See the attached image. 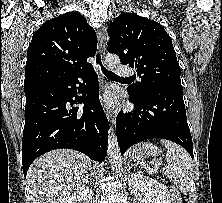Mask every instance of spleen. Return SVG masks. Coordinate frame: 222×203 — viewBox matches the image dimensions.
<instances>
[{
	"label": "spleen",
	"mask_w": 222,
	"mask_h": 203,
	"mask_svg": "<svg viewBox=\"0 0 222 203\" xmlns=\"http://www.w3.org/2000/svg\"><path fill=\"white\" fill-rule=\"evenodd\" d=\"M162 145L167 149V166L164 174L172 180L181 192L186 194L190 187L194 175V164L188 152L180 145L169 140H161Z\"/></svg>",
	"instance_id": "obj_1"
}]
</instances>
